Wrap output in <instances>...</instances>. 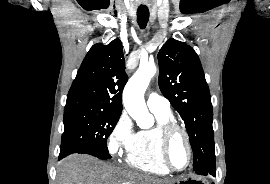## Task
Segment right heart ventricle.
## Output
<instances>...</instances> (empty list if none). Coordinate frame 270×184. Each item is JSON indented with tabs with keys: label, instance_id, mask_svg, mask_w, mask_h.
Returning a JSON list of instances; mask_svg holds the SVG:
<instances>
[{
	"label": "right heart ventricle",
	"instance_id": "e07e8e85",
	"mask_svg": "<svg viewBox=\"0 0 270 184\" xmlns=\"http://www.w3.org/2000/svg\"><path fill=\"white\" fill-rule=\"evenodd\" d=\"M157 119V125L150 129H142L136 133L130 149L127 152L126 163L143 172L167 175L170 171L163 165L159 149L158 126L168 121H174L170 111H152Z\"/></svg>",
	"mask_w": 270,
	"mask_h": 184
}]
</instances>
